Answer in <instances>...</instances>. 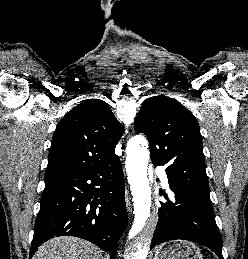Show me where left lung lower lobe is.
Returning <instances> with one entry per match:
<instances>
[{
    "label": "left lung lower lobe",
    "instance_id": "left-lung-lower-lobe-1",
    "mask_svg": "<svg viewBox=\"0 0 248 259\" xmlns=\"http://www.w3.org/2000/svg\"><path fill=\"white\" fill-rule=\"evenodd\" d=\"M169 185L175 193V202L160 203L151 248L169 240L183 239L207 246L223 259L222 240L210 197L190 193L170 181Z\"/></svg>",
    "mask_w": 248,
    "mask_h": 259
}]
</instances>
